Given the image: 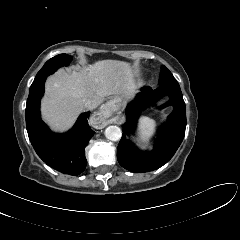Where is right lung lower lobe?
Returning <instances> with one entry per match:
<instances>
[{"instance_id":"right-lung-lower-lobe-1","label":"right lung lower lobe","mask_w":240,"mask_h":240,"mask_svg":"<svg viewBox=\"0 0 240 240\" xmlns=\"http://www.w3.org/2000/svg\"><path fill=\"white\" fill-rule=\"evenodd\" d=\"M45 80L29 91L25 113L28 136L34 150L47 165L75 176L82 173L87 165L85 147L94 134L87 121L90 112L81 114L69 132H51L40 117V99L44 94Z\"/></svg>"}]
</instances>
